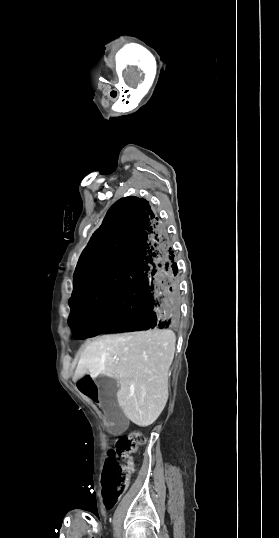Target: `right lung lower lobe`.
Segmentation results:
<instances>
[{"label":"right lung lower lobe","mask_w":279,"mask_h":538,"mask_svg":"<svg viewBox=\"0 0 279 538\" xmlns=\"http://www.w3.org/2000/svg\"><path fill=\"white\" fill-rule=\"evenodd\" d=\"M166 228L149 202L118 200L74 273L69 326L81 338L147 329L174 331L179 281Z\"/></svg>","instance_id":"right-lung-lower-lobe-1"}]
</instances>
